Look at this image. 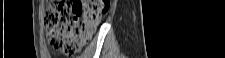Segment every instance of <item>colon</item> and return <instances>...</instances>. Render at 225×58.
Returning <instances> with one entry per match:
<instances>
[{
	"instance_id": "colon-1",
	"label": "colon",
	"mask_w": 225,
	"mask_h": 58,
	"mask_svg": "<svg viewBox=\"0 0 225 58\" xmlns=\"http://www.w3.org/2000/svg\"><path fill=\"white\" fill-rule=\"evenodd\" d=\"M108 10V0L49 1L44 17L49 44L68 55L79 52Z\"/></svg>"
}]
</instances>
